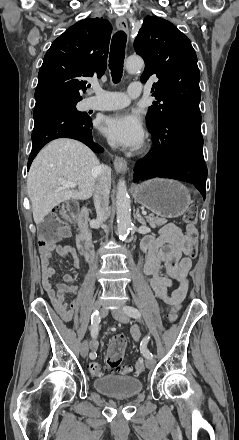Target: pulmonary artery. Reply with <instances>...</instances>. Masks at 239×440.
<instances>
[{
  "instance_id": "obj_1",
  "label": "pulmonary artery",
  "mask_w": 239,
  "mask_h": 440,
  "mask_svg": "<svg viewBox=\"0 0 239 440\" xmlns=\"http://www.w3.org/2000/svg\"><path fill=\"white\" fill-rule=\"evenodd\" d=\"M91 92L94 93L95 96L85 100L86 110H114L127 106L130 102V98L139 96L142 92V85L137 82L131 83L127 92L124 93L105 91L101 89L99 85L93 84ZM97 96H108L114 98V100L109 102H97L94 100Z\"/></svg>"
}]
</instances>
